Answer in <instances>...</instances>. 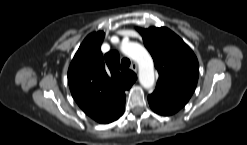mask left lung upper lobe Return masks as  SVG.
<instances>
[{
    "instance_id": "5c2ea615",
    "label": "left lung upper lobe",
    "mask_w": 247,
    "mask_h": 145,
    "mask_svg": "<svg viewBox=\"0 0 247 145\" xmlns=\"http://www.w3.org/2000/svg\"><path fill=\"white\" fill-rule=\"evenodd\" d=\"M139 32L158 69L156 87L190 99L199 74L198 60L190 47L166 27L139 29Z\"/></svg>"
}]
</instances>
